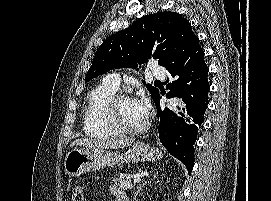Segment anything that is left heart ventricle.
I'll list each match as a JSON object with an SVG mask.
<instances>
[{
  "label": "left heart ventricle",
  "mask_w": 271,
  "mask_h": 201,
  "mask_svg": "<svg viewBox=\"0 0 271 201\" xmlns=\"http://www.w3.org/2000/svg\"><path fill=\"white\" fill-rule=\"evenodd\" d=\"M116 113L121 121L129 126L137 127L145 121L135 112L130 98L123 99L117 104Z\"/></svg>",
  "instance_id": "obj_1"
}]
</instances>
